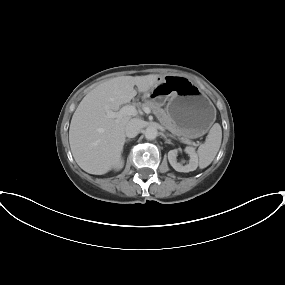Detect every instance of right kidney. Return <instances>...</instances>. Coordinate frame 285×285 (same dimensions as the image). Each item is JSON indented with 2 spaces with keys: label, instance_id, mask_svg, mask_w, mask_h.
<instances>
[{
  "label": "right kidney",
  "instance_id": "ca27d5eb",
  "mask_svg": "<svg viewBox=\"0 0 285 285\" xmlns=\"http://www.w3.org/2000/svg\"><path fill=\"white\" fill-rule=\"evenodd\" d=\"M123 166H124V160L120 158L119 161L115 164L114 169L120 170L123 168Z\"/></svg>",
  "mask_w": 285,
  "mask_h": 285
}]
</instances>
